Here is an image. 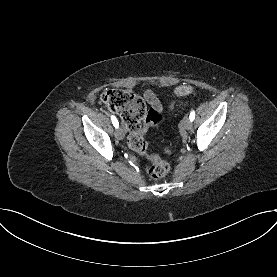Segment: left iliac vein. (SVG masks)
Segmentation results:
<instances>
[{
  "label": "left iliac vein",
  "instance_id": "left-iliac-vein-1",
  "mask_svg": "<svg viewBox=\"0 0 277 277\" xmlns=\"http://www.w3.org/2000/svg\"><path fill=\"white\" fill-rule=\"evenodd\" d=\"M182 128H184L185 130H190L192 128V121L187 116L184 117L182 121Z\"/></svg>",
  "mask_w": 277,
  "mask_h": 277
}]
</instances>
